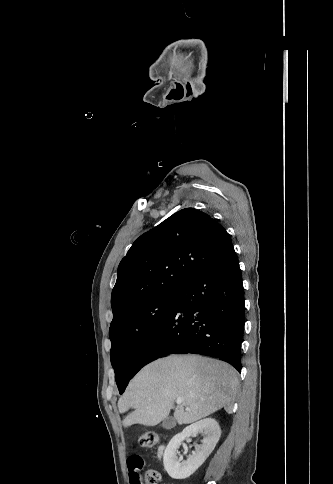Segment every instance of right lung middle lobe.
<instances>
[{"label":"right lung middle lobe","mask_w":333,"mask_h":484,"mask_svg":"<svg viewBox=\"0 0 333 484\" xmlns=\"http://www.w3.org/2000/svg\"><path fill=\"white\" fill-rule=\"evenodd\" d=\"M179 290L157 295L125 312L111 323V363L122 394L131 379L138 354L175 304Z\"/></svg>","instance_id":"1"}]
</instances>
